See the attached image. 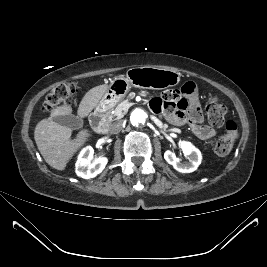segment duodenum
Returning a JSON list of instances; mask_svg holds the SVG:
<instances>
[{
	"instance_id": "410a0bca",
	"label": "duodenum",
	"mask_w": 267,
	"mask_h": 267,
	"mask_svg": "<svg viewBox=\"0 0 267 267\" xmlns=\"http://www.w3.org/2000/svg\"><path fill=\"white\" fill-rule=\"evenodd\" d=\"M90 123L93 129L98 133L104 134L108 130V123L103 110L94 111L90 116Z\"/></svg>"
}]
</instances>
